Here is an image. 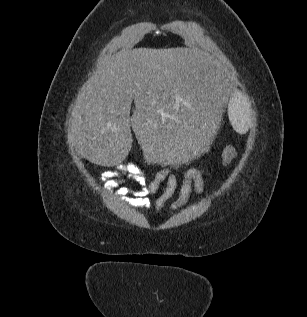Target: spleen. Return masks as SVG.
<instances>
[{"instance_id": "spleen-1", "label": "spleen", "mask_w": 307, "mask_h": 317, "mask_svg": "<svg viewBox=\"0 0 307 317\" xmlns=\"http://www.w3.org/2000/svg\"><path fill=\"white\" fill-rule=\"evenodd\" d=\"M238 104H242L238 106ZM246 97H243L241 93L235 94L234 97H230L229 104V119L236 132L244 134L249 128L250 112L246 105Z\"/></svg>"}]
</instances>
